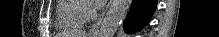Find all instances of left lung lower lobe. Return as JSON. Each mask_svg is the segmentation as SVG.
<instances>
[{"label": "left lung lower lobe", "mask_w": 219, "mask_h": 37, "mask_svg": "<svg viewBox=\"0 0 219 37\" xmlns=\"http://www.w3.org/2000/svg\"><path fill=\"white\" fill-rule=\"evenodd\" d=\"M157 7V0H133L130 12L125 20L127 33L141 30L150 20Z\"/></svg>", "instance_id": "0a47b994"}]
</instances>
